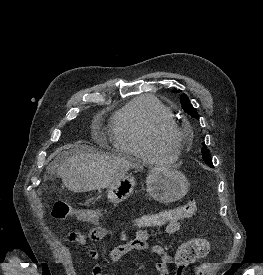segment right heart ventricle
<instances>
[{
  "label": "right heart ventricle",
  "mask_w": 263,
  "mask_h": 275,
  "mask_svg": "<svg viewBox=\"0 0 263 275\" xmlns=\"http://www.w3.org/2000/svg\"><path fill=\"white\" fill-rule=\"evenodd\" d=\"M175 122L172 112L156 97L144 95L129 101L113 116L111 142L120 152L143 159H173L177 151L158 146L152 132Z\"/></svg>",
  "instance_id": "1"
}]
</instances>
